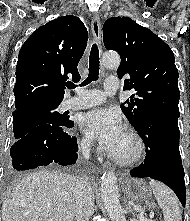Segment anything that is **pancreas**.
Instances as JSON below:
<instances>
[{"label": "pancreas", "instance_id": "cf45deb5", "mask_svg": "<svg viewBox=\"0 0 190 221\" xmlns=\"http://www.w3.org/2000/svg\"><path fill=\"white\" fill-rule=\"evenodd\" d=\"M141 213H142V214H141ZM142 216H143V209H142V212H140V213L138 214V219H139L138 221H142V220H141V217H142Z\"/></svg>", "mask_w": 190, "mask_h": 221}]
</instances>
